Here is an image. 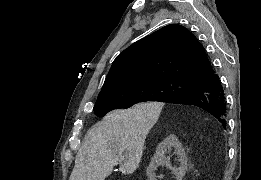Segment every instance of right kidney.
Listing matches in <instances>:
<instances>
[{"instance_id":"ca27d5eb","label":"right kidney","mask_w":261,"mask_h":180,"mask_svg":"<svg viewBox=\"0 0 261 180\" xmlns=\"http://www.w3.org/2000/svg\"><path fill=\"white\" fill-rule=\"evenodd\" d=\"M169 148H174L175 154H177L181 164L180 168H177V170H174V168H171V170H173L175 176H178L179 180H182L183 176H185L188 170L186 152H184V148H182V144H180L178 138H176V136H172L171 134V136H168V138H165V140L159 144L156 150V154H154L152 158L151 166H149L147 170V176L149 180L154 178L153 174L155 170H157L159 164H162V162L167 160L165 152H167Z\"/></svg>"}]
</instances>
